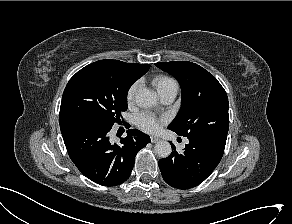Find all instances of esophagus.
<instances>
[{"label": "esophagus", "instance_id": "1", "mask_svg": "<svg viewBox=\"0 0 292 224\" xmlns=\"http://www.w3.org/2000/svg\"><path fill=\"white\" fill-rule=\"evenodd\" d=\"M160 140H161V139H160L159 137H157V136H154V135L151 136V142H152V143L159 142Z\"/></svg>", "mask_w": 292, "mask_h": 224}]
</instances>
